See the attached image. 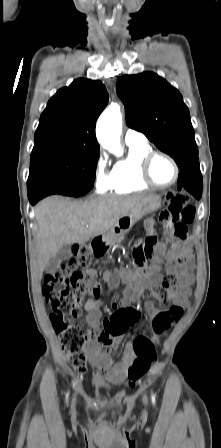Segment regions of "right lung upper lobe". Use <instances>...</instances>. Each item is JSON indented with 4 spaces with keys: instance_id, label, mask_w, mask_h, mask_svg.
<instances>
[{
    "instance_id": "cb5924a9",
    "label": "right lung upper lobe",
    "mask_w": 221,
    "mask_h": 448,
    "mask_svg": "<svg viewBox=\"0 0 221 448\" xmlns=\"http://www.w3.org/2000/svg\"><path fill=\"white\" fill-rule=\"evenodd\" d=\"M108 102L102 82L77 79L49 100L35 132L34 148L54 144H81L100 148L96 120Z\"/></svg>"
}]
</instances>
